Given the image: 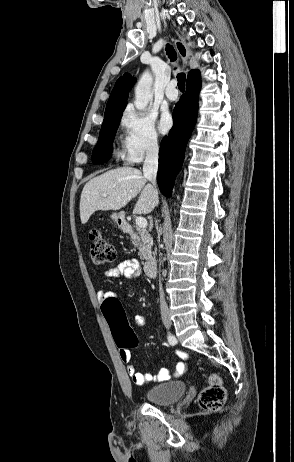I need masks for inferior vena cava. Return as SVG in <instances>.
<instances>
[{
	"label": "inferior vena cava",
	"mask_w": 294,
	"mask_h": 462,
	"mask_svg": "<svg viewBox=\"0 0 294 462\" xmlns=\"http://www.w3.org/2000/svg\"><path fill=\"white\" fill-rule=\"evenodd\" d=\"M158 155H159V147H158L157 142H154L148 147L146 151V158H145L144 165H143L144 177L151 183L152 188H153L154 197L157 203H158V192L156 189V177H157V170H158V157H159ZM160 311L162 315L167 314L169 311L161 283H160Z\"/></svg>",
	"instance_id": "obj_1"
}]
</instances>
